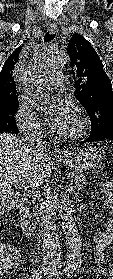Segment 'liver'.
<instances>
[{
    "instance_id": "6515ba94",
    "label": "liver",
    "mask_w": 113,
    "mask_h": 279,
    "mask_svg": "<svg viewBox=\"0 0 113 279\" xmlns=\"http://www.w3.org/2000/svg\"><path fill=\"white\" fill-rule=\"evenodd\" d=\"M50 176L48 158L36 155L16 136L0 133V211L12 198L15 178L26 179L30 186L38 187Z\"/></svg>"
}]
</instances>
